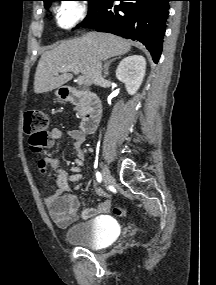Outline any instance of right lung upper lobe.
<instances>
[{
	"label": "right lung upper lobe",
	"mask_w": 216,
	"mask_h": 285,
	"mask_svg": "<svg viewBox=\"0 0 216 285\" xmlns=\"http://www.w3.org/2000/svg\"><path fill=\"white\" fill-rule=\"evenodd\" d=\"M42 1H44V3H46V2H48L49 0H42Z\"/></svg>",
	"instance_id": "obj_1"
}]
</instances>
